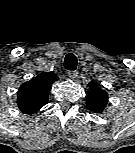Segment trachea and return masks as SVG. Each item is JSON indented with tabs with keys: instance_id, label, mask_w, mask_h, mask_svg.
I'll return each mask as SVG.
<instances>
[{
	"instance_id": "1",
	"label": "trachea",
	"mask_w": 135,
	"mask_h": 153,
	"mask_svg": "<svg viewBox=\"0 0 135 153\" xmlns=\"http://www.w3.org/2000/svg\"><path fill=\"white\" fill-rule=\"evenodd\" d=\"M77 66V58L73 53H69L64 59V68L70 71H74Z\"/></svg>"
}]
</instances>
